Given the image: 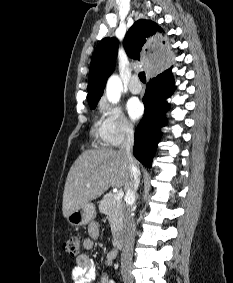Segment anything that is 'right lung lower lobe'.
Segmentation results:
<instances>
[{
    "instance_id": "right-lung-lower-lobe-1",
    "label": "right lung lower lobe",
    "mask_w": 233,
    "mask_h": 283,
    "mask_svg": "<svg viewBox=\"0 0 233 283\" xmlns=\"http://www.w3.org/2000/svg\"><path fill=\"white\" fill-rule=\"evenodd\" d=\"M174 88L171 68L155 76L146 88L143 97L145 113L135 132L133 154L147 167H151L161 137L160 128L167 122L164 113L168 111L169 104L166 98L173 93Z\"/></svg>"
}]
</instances>
